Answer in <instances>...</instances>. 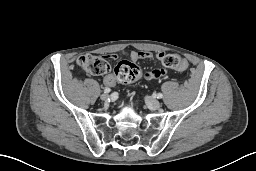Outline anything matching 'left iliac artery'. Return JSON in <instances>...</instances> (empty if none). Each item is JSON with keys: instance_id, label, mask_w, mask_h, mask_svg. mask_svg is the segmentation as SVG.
<instances>
[{"instance_id": "obj_1", "label": "left iliac artery", "mask_w": 256, "mask_h": 171, "mask_svg": "<svg viewBox=\"0 0 256 171\" xmlns=\"http://www.w3.org/2000/svg\"><path fill=\"white\" fill-rule=\"evenodd\" d=\"M156 96H157L158 99L163 98V94H161V93H158Z\"/></svg>"}]
</instances>
